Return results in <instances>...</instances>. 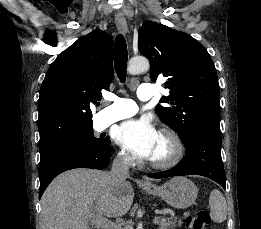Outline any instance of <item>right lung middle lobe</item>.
Instances as JSON below:
<instances>
[{
  "label": "right lung middle lobe",
  "mask_w": 261,
  "mask_h": 229,
  "mask_svg": "<svg viewBox=\"0 0 261 229\" xmlns=\"http://www.w3.org/2000/svg\"><path fill=\"white\" fill-rule=\"evenodd\" d=\"M109 144V137L96 138L94 137L93 130H91L65 144L40 150V160L64 153L102 152L108 148Z\"/></svg>",
  "instance_id": "obj_1"
}]
</instances>
